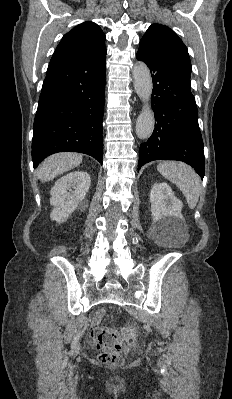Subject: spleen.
<instances>
[{
	"instance_id": "1",
	"label": "spleen",
	"mask_w": 232,
	"mask_h": 399,
	"mask_svg": "<svg viewBox=\"0 0 232 399\" xmlns=\"http://www.w3.org/2000/svg\"><path fill=\"white\" fill-rule=\"evenodd\" d=\"M158 172L176 184L177 188L184 194L186 201L194 209L197 205L200 196V178L197 176L195 170L183 164V162H161L157 166Z\"/></svg>"
}]
</instances>
